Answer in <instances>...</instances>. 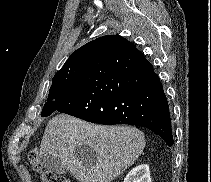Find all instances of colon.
Listing matches in <instances>:
<instances>
[{
    "instance_id": "1",
    "label": "colon",
    "mask_w": 211,
    "mask_h": 182,
    "mask_svg": "<svg viewBox=\"0 0 211 182\" xmlns=\"http://www.w3.org/2000/svg\"><path fill=\"white\" fill-rule=\"evenodd\" d=\"M28 159L34 170L39 173L42 182H70L67 178L44 168L38 149L31 150Z\"/></svg>"
}]
</instances>
